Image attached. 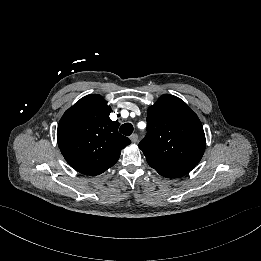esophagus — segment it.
Wrapping results in <instances>:
<instances>
[{
    "label": "esophagus",
    "instance_id": "esophagus-1",
    "mask_svg": "<svg viewBox=\"0 0 261 261\" xmlns=\"http://www.w3.org/2000/svg\"><path fill=\"white\" fill-rule=\"evenodd\" d=\"M130 139L133 143H137L138 142V135L137 134H132L130 136Z\"/></svg>",
    "mask_w": 261,
    "mask_h": 261
}]
</instances>
